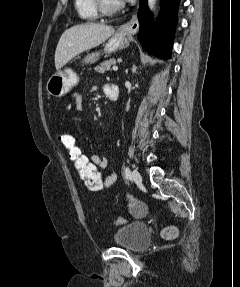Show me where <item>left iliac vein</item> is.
Returning a JSON list of instances; mask_svg holds the SVG:
<instances>
[{"label": "left iliac vein", "mask_w": 240, "mask_h": 287, "mask_svg": "<svg viewBox=\"0 0 240 287\" xmlns=\"http://www.w3.org/2000/svg\"><path fill=\"white\" fill-rule=\"evenodd\" d=\"M132 179L135 183H140L142 181V177L137 170L132 171Z\"/></svg>", "instance_id": "4c4485c4"}]
</instances>
